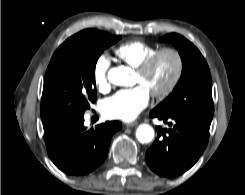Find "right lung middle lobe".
I'll return each instance as SVG.
<instances>
[{
  "instance_id": "1",
  "label": "right lung middle lobe",
  "mask_w": 245,
  "mask_h": 195,
  "mask_svg": "<svg viewBox=\"0 0 245 195\" xmlns=\"http://www.w3.org/2000/svg\"><path fill=\"white\" fill-rule=\"evenodd\" d=\"M121 36L86 29L68 38L47 68L41 99L42 122L57 123L84 115L95 102V66Z\"/></svg>"
}]
</instances>
